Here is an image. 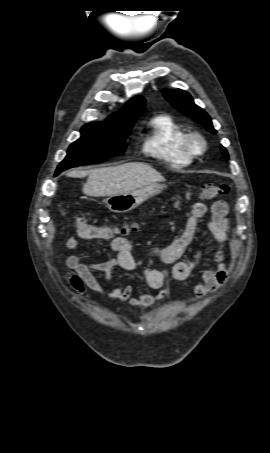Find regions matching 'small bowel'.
Listing matches in <instances>:
<instances>
[{
  "instance_id": "small-bowel-1",
  "label": "small bowel",
  "mask_w": 270,
  "mask_h": 453,
  "mask_svg": "<svg viewBox=\"0 0 270 453\" xmlns=\"http://www.w3.org/2000/svg\"><path fill=\"white\" fill-rule=\"evenodd\" d=\"M208 214L210 218L207 228L217 242V249L213 255L216 268L199 269L203 257L201 251H197L191 260L180 261V258L186 253L195 239L199 219ZM230 224L228 205L225 201H215L210 209L204 203H194L190 216L174 240L169 245L153 248L146 254L148 261L171 264V267L144 268L142 278L145 284L151 289L160 290L168 280L184 281L196 275L197 282L194 286L196 298L200 299L208 293L216 292L228 279L224 249L227 248L231 255L236 252V245L229 239ZM95 237L106 238L102 236ZM80 244V240L73 236L65 240V245L69 249H78ZM111 249L115 256L107 261H88L75 255L67 257L66 262L70 270L67 272L66 278L77 295L85 298L87 296L86 290L89 289L109 299L120 302L129 301L132 306L149 307L170 294V289L168 288L162 289L158 294H150L137 291L131 284L125 287L115 285L112 279L114 269L133 270L136 268L137 262L134 257L133 244L128 238L122 236L113 238L111 240ZM95 272L102 274L105 285L99 282Z\"/></svg>"
}]
</instances>
